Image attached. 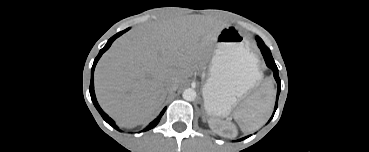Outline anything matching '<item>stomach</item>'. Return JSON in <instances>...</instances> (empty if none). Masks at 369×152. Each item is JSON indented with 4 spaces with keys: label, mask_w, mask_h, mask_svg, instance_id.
Listing matches in <instances>:
<instances>
[{
    "label": "stomach",
    "mask_w": 369,
    "mask_h": 152,
    "mask_svg": "<svg viewBox=\"0 0 369 152\" xmlns=\"http://www.w3.org/2000/svg\"><path fill=\"white\" fill-rule=\"evenodd\" d=\"M257 59L249 52L245 37L233 26L217 35L210 77L203 86L209 115L225 117L261 80Z\"/></svg>",
    "instance_id": "stomach-1"
}]
</instances>
